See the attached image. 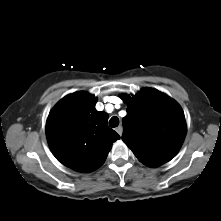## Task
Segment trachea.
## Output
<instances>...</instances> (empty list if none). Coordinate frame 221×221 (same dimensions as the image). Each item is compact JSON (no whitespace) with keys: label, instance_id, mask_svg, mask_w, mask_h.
<instances>
[{"label":"trachea","instance_id":"3493384b","mask_svg":"<svg viewBox=\"0 0 221 221\" xmlns=\"http://www.w3.org/2000/svg\"><path fill=\"white\" fill-rule=\"evenodd\" d=\"M119 125V118L117 116H113L110 120H109V126L111 128H115Z\"/></svg>","mask_w":221,"mask_h":221}]
</instances>
